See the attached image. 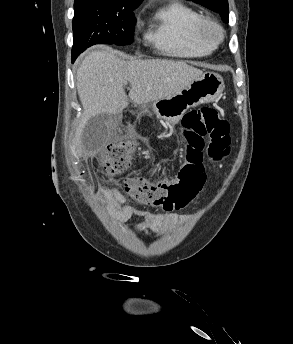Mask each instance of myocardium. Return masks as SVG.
Here are the masks:
<instances>
[{
  "label": "myocardium",
  "instance_id": "1",
  "mask_svg": "<svg viewBox=\"0 0 293 344\" xmlns=\"http://www.w3.org/2000/svg\"><path fill=\"white\" fill-rule=\"evenodd\" d=\"M197 35L204 45L216 48L223 41L224 30L216 20L202 17L197 27Z\"/></svg>",
  "mask_w": 293,
  "mask_h": 344
}]
</instances>
